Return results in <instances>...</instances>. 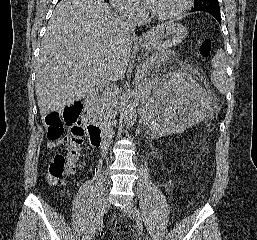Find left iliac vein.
Instances as JSON below:
<instances>
[{"label": "left iliac vein", "mask_w": 257, "mask_h": 240, "mask_svg": "<svg viewBox=\"0 0 257 240\" xmlns=\"http://www.w3.org/2000/svg\"><path fill=\"white\" fill-rule=\"evenodd\" d=\"M122 211L124 214H126L128 217L134 219L135 218V208L132 204L126 203L124 206H122ZM147 240H150L147 238Z\"/></svg>", "instance_id": "left-iliac-vein-1"}]
</instances>
